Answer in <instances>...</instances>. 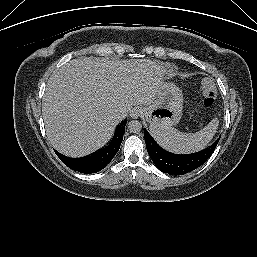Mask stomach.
Wrapping results in <instances>:
<instances>
[{"mask_svg": "<svg viewBox=\"0 0 257 257\" xmlns=\"http://www.w3.org/2000/svg\"><path fill=\"white\" fill-rule=\"evenodd\" d=\"M183 109V94L173 83L163 82L154 102L144 109L150 129L168 128L179 123Z\"/></svg>", "mask_w": 257, "mask_h": 257, "instance_id": "1", "label": "stomach"}]
</instances>
